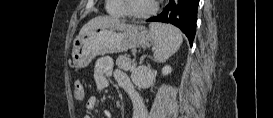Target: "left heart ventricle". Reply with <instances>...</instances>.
<instances>
[{
	"label": "left heart ventricle",
	"mask_w": 273,
	"mask_h": 118,
	"mask_svg": "<svg viewBox=\"0 0 273 118\" xmlns=\"http://www.w3.org/2000/svg\"><path fill=\"white\" fill-rule=\"evenodd\" d=\"M130 8L136 12H145L153 4V0H129Z\"/></svg>",
	"instance_id": "1"
}]
</instances>
